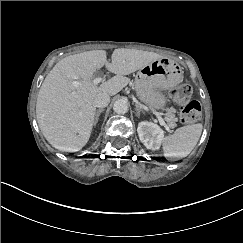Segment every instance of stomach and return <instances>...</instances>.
Instances as JSON below:
<instances>
[{"instance_id": "0dacf381", "label": "stomach", "mask_w": 243, "mask_h": 243, "mask_svg": "<svg viewBox=\"0 0 243 243\" xmlns=\"http://www.w3.org/2000/svg\"><path fill=\"white\" fill-rule=\"evenodd\" d=\"M183 77L181 67L168 59H158L137 72L135 90L139 99L150 108L163 109L167 98L164 90L179 84Z\"/></svg>"}]
</instances>
